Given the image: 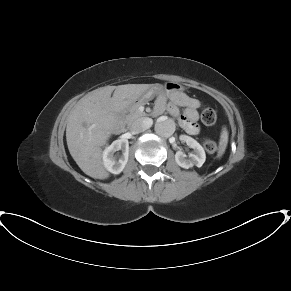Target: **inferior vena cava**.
<instances>
[{
    "label": "inferior vena cava",
    "mask_w": 291,
    "mask_h": 291,
    "mask_svg": "<svg viewBox=\"0 0 291 291\" xmlns=\"http://www.w3.org/2000/svg\"><path fill=\"white\" fill-rule=\"evenodd\" d=\"M152 123H153V120L151 118H147V117L138 118L132 122L130 126V131L133 134H138L150 128Z\"/></svg>",
    "instance_id": "obj_1"
}]
</instances>
